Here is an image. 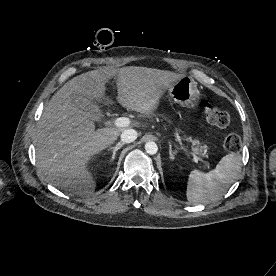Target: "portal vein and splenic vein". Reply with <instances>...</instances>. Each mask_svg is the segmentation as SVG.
I'll use <instances>...</instances> for the list:
<instances>
[{
    "instance_id": "obj_1",
    "label": "portal vein and splenic vein",
    "mask_w": 276,
    "mask_h": 276,
    "mask_svg": "<svg viewBox=\"0 0 276 276\" xmlns=\"http://www.w3.org/2000/svg\"><path fill=\"white\" fill-rule=\"evenodd\" d=\"M116 127H126L130 124V120L127 117L117 118L114 122ZM195 160H198L197 156L194 155Z\"/></svg>"
}]
</instances>
